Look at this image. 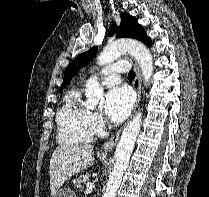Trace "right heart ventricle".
<instances>
[{
    "instance_id": "obj_1",
    "label": "right heart ventricle",
    "mask_w": 209,
    "mask_h": 197,
    "mask_svg": "<svg viewBox=\"0 0 209 197\" xmlns=\"http://www.w3.org/2000/svg\"><path fill=\"white\" fill-rule=\"evenodd\" d=\"M90 115L82 104L80 91H69L57 113L58 141L68 145L90 142L95 133Z\"/></svg>"
}]
</instances>
